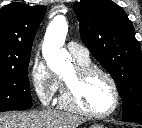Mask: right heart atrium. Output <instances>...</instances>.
Masks as SVG:
<instances>
[{
  "mask_svg": "<svg viewBox=\"0 0 142 128\" xmlns=\"http://www.w3.org/2000/svg\"><path fill=\"white\" fill-rule=\"evenodd\" d=\"M30 81L35 95L43 105L51 104L61 88L59 77L38 56L31 62Z\"/></svg>",
  "mask_w": 142,
  "mask_h": 128,
  "instance_id": "obj_1",
  "label": "right heart atrium"
}]
</instances>
